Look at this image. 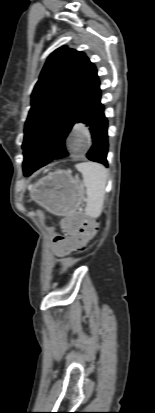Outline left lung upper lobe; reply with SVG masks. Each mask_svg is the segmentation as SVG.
I'll list each match as a JSON object with an SVG mask.
<instances>
[{
  "label": "left lung upper lobe",
  "instance_id": "5c2ea615",
  "mask_svg": "<svg viewBox=\"0 0 155 413\" xmlns=\"http://www.w3.org/2000/svg\"><path fill=\"white\" fill-rule=\"evenodd\" d=\"M99 84L97 70L83 52L63 46L48 57L25 123L24 173L59 151L55 139L78 123L79 114Z\"/></svg>",
  "mask_w": 155,
  "mask_h": 413
}]
</instances>
